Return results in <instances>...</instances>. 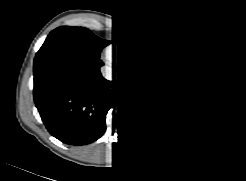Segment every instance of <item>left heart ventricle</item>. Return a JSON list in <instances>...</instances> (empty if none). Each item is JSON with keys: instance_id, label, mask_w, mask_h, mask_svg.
Masks as SVG:
<instances>
[{"instance_id": "b2bd125f", "label": "left heart ventricle", "mask_w": 246, "mask_h": 181, "mask_svg": "<svg viewBox=\"0 0 246 181\" xmlns=\"http://www.w3.org/2000/svg\"><path fill=\"white\" fill-rule=\"evenodd\" d=\"M175 65V54L173 50H169L164 53L158 61V69L161 72H167L171 70Z\"/></svg>"}]
</instances>
